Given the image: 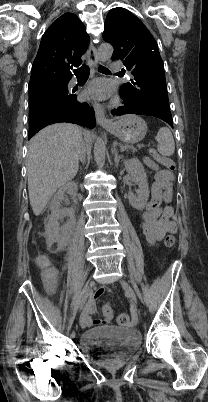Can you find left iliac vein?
I'll list each match as a JSON object with an SVG mask.
<instances>
[{
	"instance_id": "4c4485c4",
	"label": "left iliac vein",
	"mask_w": 208,
	"mask_h": 402,
	"mask_svg": "<svg viewBox=\"0 0 208 402\" xmlns=\"http://www.w3.org/2000/svg\"><path fill=\"white\" fill-rule=\"evenodd\" d=\"M120 283L125 291V294L131 301V303L136 306L138 302H137L136 294H135L134 290L132 289V287L123 279L120 280Z\"/></svg>"
}]
</instances>
